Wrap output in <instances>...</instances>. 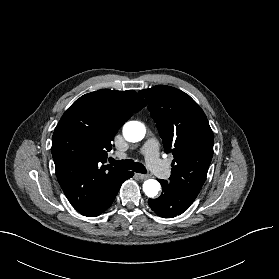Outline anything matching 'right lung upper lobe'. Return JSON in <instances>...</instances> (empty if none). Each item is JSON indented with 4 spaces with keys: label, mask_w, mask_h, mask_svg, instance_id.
Segmentation results:
<instances>
[{
    "label": "right lung upper lobe",
    "mask_w": 279,
    "mask_h": 279,
    "mask_svg": "<svg viewBox=\"0 0 279 279\" xmlns=\"http://www.w3.org/2000/svg\"><path fill=\"white\" fill-rule=\"evenodd\" d=\"M146 106L135 91L102 89L81 96L63 114L52 139L58 182L71 205L93 208L107 185L125 170L105 165L122 125Z\"/></svg>",
    "instance_id": "cb5924a9"
}]
</instances>
